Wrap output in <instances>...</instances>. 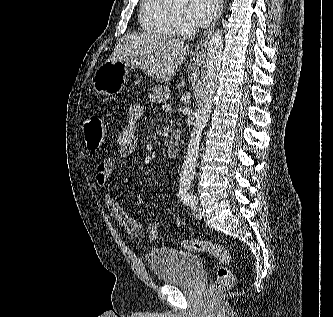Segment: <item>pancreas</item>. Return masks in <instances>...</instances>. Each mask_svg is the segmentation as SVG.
I'll use <instances>...</instances> for the list:
<instances>
[{
    "instance_id": "obj_1",
    "label": "pancreas",
    "mask_w": 333,
    "mask_h": 317,
    "mask_svg": "<svg viewBox=\"0 0 333 317\" xmlns=\"http://www.w3.org/2000/svg\"><path fill=\"white\" fill-rule=\"evenodd\" d=\"M169 93L170 89L168 86H157L152 89L148 97L151 103H161L164 102L165 96Z\"/></svg>"
}]
</instances>
